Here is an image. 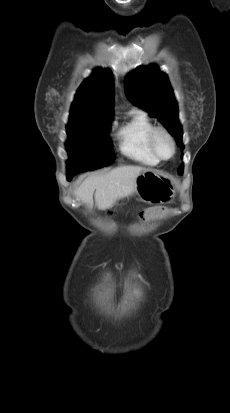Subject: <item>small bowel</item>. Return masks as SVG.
I'll return each instance as SVG.
<instances>
[{"label":"small bowel","instance_id":"c3829d8e","mask_svg":"<svg viewBox=\"0 0 230 413\" xmlns=\"http://www.w3.org/2000/svg\"><path fill=\"white\" fill-rule=\"evenodd\" d=\"M172 211L169 205H146L145 209L140 210V217L146 218L147 221H151L153 217H156L157 221L161 220V216H165ZM153 225L156 223L154 220L151 222Z\"/></svg>","mask_w":230,"mask_h":413}]
</instances>
